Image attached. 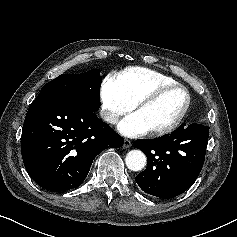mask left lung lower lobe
Instances as JSON below:
<instances>
[{"label": "left lung lower lobe", "instance_id": "left-lung-lower-lobe-1", "mask_svg": "<svg viewBox=\"0 0 237 237\" xmlns=\"http://www.w3.org/2000/svg\"><path fill=\"white\" fill-rule=\"evenodd\" d=\"M209 127L182 124L171 134L150 140H136L148 160L135 180L146 193L173 198L186 191L198 177L205 159Z\"/></svg>", "mask_w": 237, "mask_h": 237}]
</instances>
